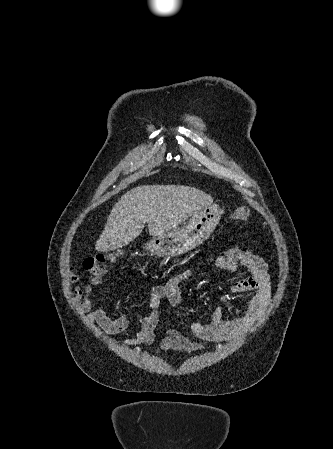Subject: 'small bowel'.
<instances>
[{"label": "small bowel", "instance_id": "small-bowel-1", "mask_svg": "<svg viewBox=\"0 0 333 449\" xmlns=\"http://www.w3.org/2000/svg\"><path fill=\"white\" fill-rule=\"evenodd\" d=\"M215 263L218 267L231 272H234L239 265L246 268L249 276L233 280L230 289L234 292H251L252 298L245 309L231 320L224 318L222 307H217L208 323H190L189 334L199 338L200 342L193 341L177 329H168L166 337L160 343L162 351L195 352L203 349L208 342L236 340L246 334L262 315L270 299V277L266 262L252 251L235 246L225 255L217 258ZM192 274V270H184L170 277L165 283L150 289L148 292L149 312L141 319L138 332L125 345L138 346L153 343L158 322V309L162 301L167 300L170 304L176 305L180 300V284ZM69 279L76 284L73 299L77 307L87 313L91 322L111 335L119 334L127 328L128 321L124 315L120 314L111 318L103 306L93 309L92 288L104 282V274L93 275L88 284H82L80 275L72 268Z\"/></svg>", "mask_w": 333, "mask_h": 449}]
</instances>
